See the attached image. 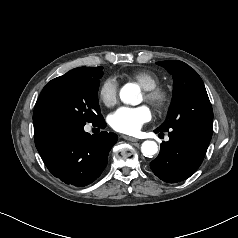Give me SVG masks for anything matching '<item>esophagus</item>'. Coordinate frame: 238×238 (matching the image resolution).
<instances>
[{
  "mask_svg": "<svg viewBox=\"0 0 238 238\" xmlns=\"http://www.w3.org/2000/svg\"><path fill=\"white\" fill-rule=\"evenodd\" d=\"M124 139L131 141V142H137L139 141L137 138L130 137V136H123Z\"/></svg>",
  "mask_w": 238,
  "mask_h": 238,
  "instance_id": "esophagus-1",
  "label": "esophagus"
}]
</instances>
